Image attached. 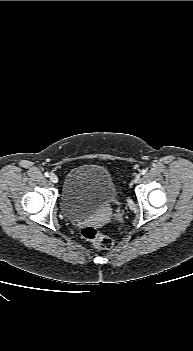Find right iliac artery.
<instances>
[{"label":"right iliac artery","mask_w":193,"mask_h":351,"mask_svg":"<svg viewBox=\"0 0 193 351\" xmlns=\"http://www.w3.org/2000/svg\"><path fill=\"white\" fill-rule=\"evenodd\" d=\"M45 176H46V177H49V173H48V172H45Z\"/></svg>","instance_id":"obj_1"}]
</instances>
